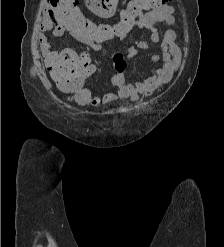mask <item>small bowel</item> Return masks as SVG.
Segmentation results:
<instances>
[{
	"label": "small bowel",
	"instance_id": "1",
	"mask_svg": "<svg viewBox=\"0 0 224 247\" xmlns=\"http://www.w3.org/2000/svg\"><path fill=\"white\" fill-rule=\"evenodd\" d=\"M87 7L97 16L107 18L113 15L118 0H85ZM53 0H46L40 23V41L42 52L47 63L54 57L51 40L43 35L45 31H52L54 37L69 34L95 51L103 50V42L83 38L68 25H66L57 9L52 4ZM166 23L170 26L176 24L174 9L164 6L144 14L135 21L138 28L150 32V41L159 46L160 52L152 55L155 66L150 69L151 76L137 80H129L123 72L115 73L111 78L112 85L118 89L104 95H95L92 104L99 105L119 98L137 100L140 96H149L167 85L177 72L181 60V51L175 29H169L163 36L160 35L158 24ZM148 41H141L136 47L127 50V58L131 60L139 49H147ZM67 52V51H66Z\"/></svg>",
	"mask_w": 224,
	"mask_h": 247
}]
</instances>
